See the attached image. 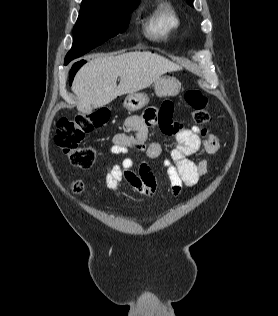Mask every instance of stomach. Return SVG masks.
Returning a JSON list of instances; mask_svg holds the SVG:
<instances>
[{
    "instance_id": "stomach-1",
    "label": "stomach",
    "mask_w": 278,
    "mask_h": 316,
    "mask_svg": "<svg viewBox=\"0 0 278 316\" xmlns=\"http://www.w3.org/2000/svg\"><path fill=\"white\" fill-rule=\"evenodd\" d=\"M181 84L178 79L170 76L159 77L154 83L155 93L158 97L175 96L179 93ZM148 103V97L144 93L128 94L123 106L129 111H137Z\"/></svg>"
}]
</instances>
